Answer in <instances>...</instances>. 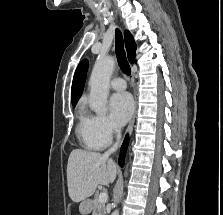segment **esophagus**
Wrapping results in <instances>:
<instances>
[{
    "label": "esophagus",
    "instance_id": "1",
    "mask_svg": "<svg viewBox=\"0 0 223 215\" xmlns=\"http://www.w3.org/2000/svg\"><path fill=\"white\" fill-rule=\"evenodd\" d=\"M136 114H137V100L135 98L133 115H132V118H131V120L129 122V125H128V132L129 133H131V131H132V128H133V125H134V122H135Z\"/></svg>",
    "mask_w": 223,
    "mask_h": 215
}]
</instances>
